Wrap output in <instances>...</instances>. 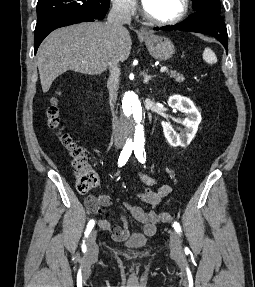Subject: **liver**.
Returning <instances> with one entry per match:
<instances>
[{
	"instance_id": "6515ba94",
	"label": "liver",
	"mask_w": 255,
	"mask_h": 287,
	"mask_svg": "<svg viewBox=\"0 0 255 287\" xmlns=\"http://www.w3.org/2000/svg\"><path fill=\"white\" fill-rule=\"evenodd\" d=\"M131 38L123 30L114 40L110 26L103 22H85L52 32L37 54V66L44 94L55 78L73 70L97 76L105 72L116 52L119 62H125L131 52Z\"/></svg>"
}]
</instances>
